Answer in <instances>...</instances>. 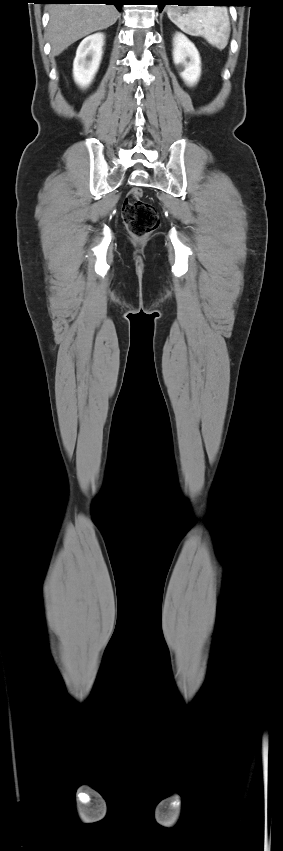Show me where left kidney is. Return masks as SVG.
I'll list each match as a JSON object with an SVG mask.
<instances>
[{
  "label": "left kidney",
  "mask_w": 283,
  "mask_h": 851,
  "mask_svg": "<svg viewBox=\"0 0 283 851\" xmlns=\"http://www.w3.org/2000/svg\"><path fill=\"white\" fill-rule=\"evenodd\" d=\"M173 60L183 80L190 86L201 74V60L195 45L182 33L174 37Z\"/></svg>",
  "instance_id": "left-kidney-1"
}]
</instances>
